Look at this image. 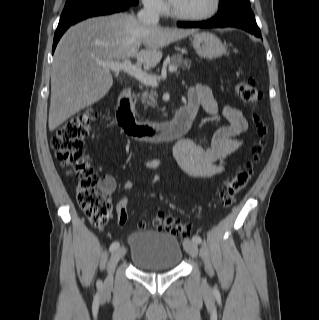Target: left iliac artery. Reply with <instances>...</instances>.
Instances as JSON below:
<instances>
[{
  "label": "left iliac artery",
  "mask_w": 319,
  "mask_h": 320,
  "mask_svg": "<svg viewBox=\"0 0 319 320\" xmlns=\"http://www.w3.org/2000/svg\"><path fill=\"white\" fill-rule=\"evenodd\" d=\"M192 240H193L194 242H196L197 244H200V243L202 242L201 237L198 236V235H194L193 238H192Z\"/></svg>",
  "instance_id": "left-iliac-artery-1"
}]
</instances>
